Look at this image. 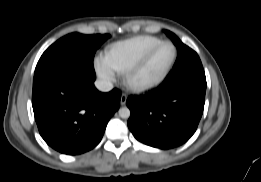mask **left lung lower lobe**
Listing matches in <instances>:
<instances>
[{
    "label": "left lung lower lobe",
    "instance_id": "0a47b994",
    "mask_svg": "<svg viewBox=\"0 0 261 182\" xmlns=\"http://www.w3.org/2000/svg\"><path fill=\"white\" fill-rule=\"evenodd\" d=\"M206 92L204 72L161 84L131 96L128 127L134 137L149 146L170 149L185 143L196 131L203 113Z\"/></svg>",
    "mask_w": 261,
    "mask_h": 182
}]
</instances>
